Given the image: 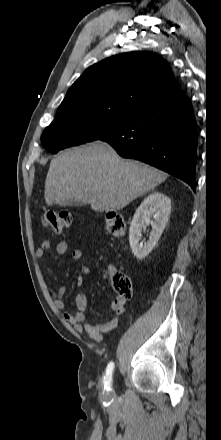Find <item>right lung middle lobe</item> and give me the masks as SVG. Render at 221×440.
Returning a JSON list of instances; mask_svg holds the SVG:
<instances>
[{
	"label": "right lung middle lobe",
	"instance_id": "1",
	"mask_svg": "<svg viewBox=\"0 0 221 440\" xmlns=\"http://www.w3.org/2000/svg\"><path fill=\"white\" fill-rule=\"evenodd\" d=\"M135 109L109 101L73 102L58 108L41 142L51 153L98 140L118 126Z\"/></svg>",
	"mask_w": 221,
	"mask_h": 440
}]
</instances>
